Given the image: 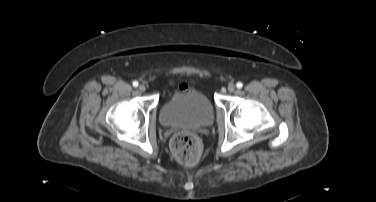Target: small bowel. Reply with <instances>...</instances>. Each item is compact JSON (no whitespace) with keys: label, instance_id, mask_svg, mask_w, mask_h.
<instances>
[{"label":"small bowel","instance_id":"c3829d8e","mask_svg":"<svg viewBox=\"0 0 376 202\" xmlns=\"http://www.w3.org/2000/svg\"><path fill=\"white\" fill-rule=\"evenodd\" d=\"M188 88V84L183 82V83H180L179 85V89L180 90H186Z\"/></svg>","mask_w":376,"mask_h":202}]
</instances>
